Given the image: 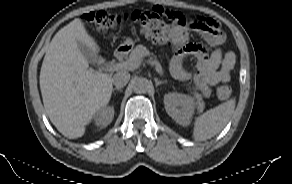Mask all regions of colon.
<instances>
[{
  "label": "colon",
  "mask_w": 292,
  "mask_h": 184,
  "mask_svg": "<svg viewBox=\"0 0 292 184\" xmlns=\"http://www.w3.org/2000/svg\"><path fill=\"white\" fill-rule=\"evenodd\" d=\"M83 19L101 32L131 23L152 42L172 45L181 39L186 29L199 25V21L194 17L161 7L124 14H112L102 10L92 11L85 14ZM216 95L220 100H225L231 95V88L228 85H219L216 88Z\"/></svg>",
  "instance_id": "colon-1"
}]
</instances>
